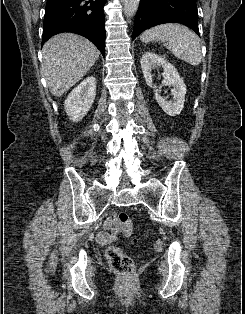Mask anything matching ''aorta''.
Instances as JSON below:
<instances>
[{
    "label": "aorta",
    "mask_w": 245,
    "mask_h": 314,
    "mask_svg": "<svg viewBox=\"0 0 245 314\" xmlns=\"http://www.w3.org/2000/svg\"><path fill=\"white\" fill-rule=\"evenodd\" d=\"M124 1V15L132 17L136 14L139 6V0H123Z\"/></svg>",
    "instance_id": "762f6f07"
}]
</instances>
